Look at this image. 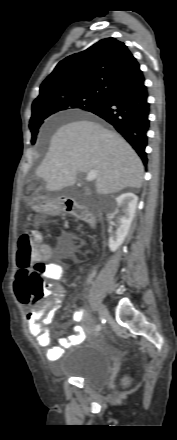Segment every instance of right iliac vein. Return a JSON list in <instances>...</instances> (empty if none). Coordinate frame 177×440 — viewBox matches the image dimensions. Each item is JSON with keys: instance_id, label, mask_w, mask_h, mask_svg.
<instances>
[{"instance_id": "63e3f726", "label": "right iliac vein", "mask_w": 177, "mask_h": 440, "mask_svg": "<svg viewBox=\"0 0 177 440\" xmlns=\"http://www.w3.org/2000/svg\"><path fill=\"white\" fill-rule=\"evenodd\" d=\"M98 312L101 319H106L109 315L108 309L103 304L98 305Z\"/></svg>"}]
</instances>
